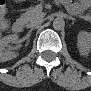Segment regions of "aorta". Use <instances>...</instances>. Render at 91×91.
<instances>
[{"mask_svg":"<svg viewBox=\"0 0 91 91\" xmlns=\"http://www.w3.org/2000/svg\"><path fill=\"white\" fill-rule=\"evenodd\" d=\"M65 27V21L62 18H56L53 21V28L55 30H62Z\"/></svg>","mask_w":91,"mask_h":91,"instance_id":"aorta-1","label":"aorta"}]
</instances>
